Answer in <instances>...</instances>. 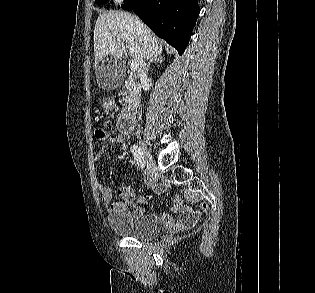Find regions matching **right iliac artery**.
<instances>
[{"label": "right iliac artery", "mask_w": 315, "mask_h": 293, "mask_svg": "<svg viewBox=\"0 0 315 293\" xmlns=\"http://www.w3.org/2000/svg\"><path fill=\"white\" fill-rule=\"evenodd\" d=\"M131 152H132L138 166L141 169H143L145 166V162H144V157H143V153H142L141 149L138 148V146H136V145H132L131 146Z\"/></svg>", "instance_id": "1"}]
</instances>
